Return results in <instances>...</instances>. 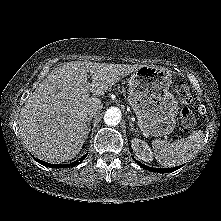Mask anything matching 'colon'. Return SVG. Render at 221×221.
I'll return each instance as SVG.
<instances>
[{
  "label": "colon",
  "mask_w": 221,
  "mask_h": 221,
  "mask_svg": "<svg viewBox=\"0 0 221 221\" xmlns=\"http://www.w3.org/2000/svg\"><path fill=\"white\" fill-rule=\"evenodd\" d=\"M175 95L178 100L184 104H188L192 101V94L188 85L184 82H179L175 86ZM181 122L185 127H194L196 124V117L193 112L188 109H182L180 113Z\"/></svg>",
  "instance_id": "colon-1"
}]
</instances>
